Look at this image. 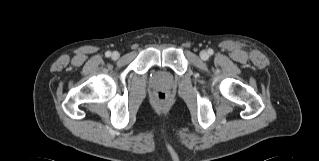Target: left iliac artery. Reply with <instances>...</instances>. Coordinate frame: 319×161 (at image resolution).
I'll return each instance as SVG.
<instances>
[{
	"label": "left iliac artery",
	"instance_id": "1",
	"mask_svg": "<svg viewBox=\"0 0 319 161\" xmlns=\"http://www.w3.org/2000/svg\"><path fill=\"white\" fill-rule=\"evenodd\" d=\"M208 53H209L210 55H213L214 51H213L212 49H209V50H208Z\"/></svg>",
	"mask_w": 319,
	"mask_h": 161
}]
</instances>
